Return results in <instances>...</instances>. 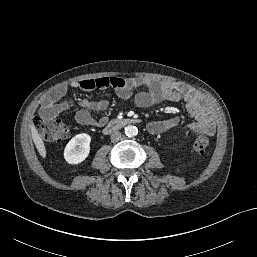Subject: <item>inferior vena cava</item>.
<instances>
[{"mask_svg":"<svg viewBox=\"0 0 257 257\" xmlns=\"http://www.w3.org/2000/svg\"><path fill=\"white\" fill-rule=\"evenodd\" d=\"M121 139V133L119 131H114L111 134V141L114 142H118Z\"/></svg>","mask_w":257,"mask_h":257,"instance_id":"obj_1","label":"inferior vena cava"}]
</instances>
